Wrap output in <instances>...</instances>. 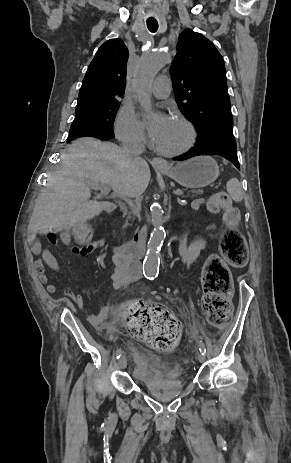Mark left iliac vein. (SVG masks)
<instances>
[{"label":"left iliac vein","mask_w":291,"mask_h":463,"mask_svg":"<svg viewBox=\"0 0 291 463\" xmlns=\"http://www.w3.org/2000/svg\"><path fill=\"white\" fill-rule=\"evenodd\" d=\"M197 359L200 363L204 362L205 361V354H203L202 352H200L197 356Z\"/></svg>","instance_id":"obj_1"}]
</instances>
